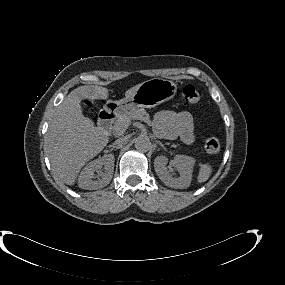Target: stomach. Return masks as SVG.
<instances>
[{
	"label": "stomach",
	"mask_w": 285,
	"mask_h": 285,
	"mask_svg": "<svg viewBox=\"0 0 285 285\" xmlns=\"http://www.w3.org/2000/svg\"><path fill=\"white\" fill-rule=\"evenodd\" d=\"M176 92L177 85L173 81L153 78L142 82L130 97L119 101L108 100L103 109L108 113L122 114L134 108H152L170 100Z\"/></svg>",
	"instance_id": "0dacf381"
}]
</instances>
